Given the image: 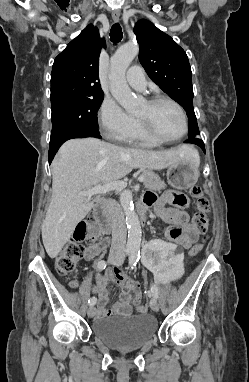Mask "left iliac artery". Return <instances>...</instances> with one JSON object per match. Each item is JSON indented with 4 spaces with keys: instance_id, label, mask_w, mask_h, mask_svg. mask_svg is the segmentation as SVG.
Here are the masks:
<instances>
[{
    "instance_id": "left-iliac-artery-1",
    "label": "left iliac artery",
    "mask_w": 249,
    "mask_h": 382,
    "mask_svg": "<svg viewBox=\"0 0 249 382\" xmlns=\"http://www.w3.org/2000/svg\"><path fill=\"white\" fill-rule=\"evenodd\" d=\"M140 259V252H137V251H133L130 258H129V263L130 265H134L136 266V263L138 262V260ZM150 293L152 294V296L157 299L158 298V288L156 285H152L151 286V290H150Z\"/></svg>"
}]
</instances>
